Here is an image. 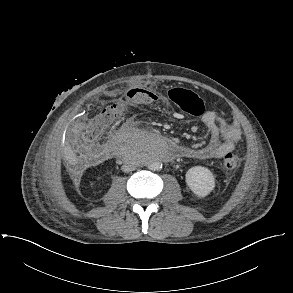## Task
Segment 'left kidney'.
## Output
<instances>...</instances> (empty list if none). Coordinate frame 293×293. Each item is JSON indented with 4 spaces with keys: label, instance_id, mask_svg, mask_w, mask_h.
I'll use <instances>...</instances> for the list:
<instances>
[{
    "label": "left kidney",
    "instance_id": "left-kidney-1",
    "mask_svg": "<svg viewBox=\"0 0 293 293\" xmlns=\"http://www.w3.org/2000/svg\"><path fill=\"white\" fill-rule=\"evenodd\" d=\"M186 183L198 197H206L215 188L213 173L206 167L194 166L186 172Z\"/></svg>",
    "mask_w": 293,
    "mask_h": 293
}]
</instances>
